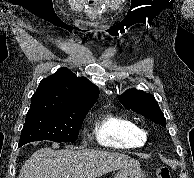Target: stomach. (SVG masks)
I'll use <instances>...</instances> for the list:
<instances>
[{"instance_id":"stomach-1","label":"stomach","mask_w":194,"mask_h":178,"mask_svg":"<svg viewBox=\"0 0 194 178\" xmlns=\"http://www.w3.org/2000/svg\"><path fill=\"white\" fill-rule=\"evenodd\" d=\"M114 178H145V175L139 167H130L121 169Z\"/></svg>"}]
</instances>
